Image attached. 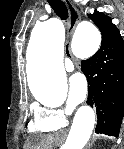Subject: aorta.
<instances>
[{
	"mask_svg": "<svg viewBox=\"0 0 124 149\" xmlns=\"http://www.w3.org/2000/svg\"><path fill=\"white\" fill-rule=\"evenodd\" d=\"M64 27L57 18L37 24L28 47L29 87L42 103L61 101L67 95L63 66ZM101 43L100 31L91 22L78 24L72 39V50L83 56L95 53ZM95 114L91 107L78 109L64 149H83L92 134Z\"/></svg>",
	"mask_w": 124,
	"mask_h": 149,
	"instance_id": "obj_1",
	"label": "aorta"
}]
</instances>
